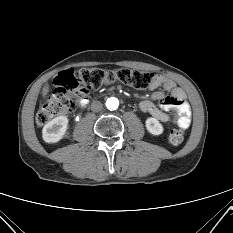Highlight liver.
I'll return each mask as SVG.
<instances>
[{
  "label": "liver",
  "mask_w": 233,
  "mask_h": 233,
  "mask_svg": "<svg viewBox=\"0 0 233 233\" xmlns=\"http://www.w3.org/2000/svg\"><path fill=\"white\" fill-rule=\"evenodd\" d=\"M49 92V85L48 84H45L43 89H42V96L43 97H46V95L48 94Z\"/></svg>",
  "instance_id": "1"
}]
</instances>
